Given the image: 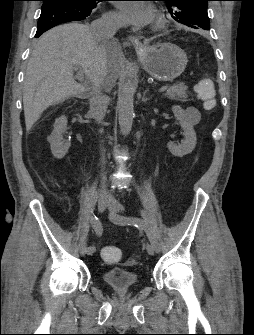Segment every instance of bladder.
<instances>
[{"instance_id": "bladder-1", "label": "bladder", "mask_w": 254, "mask_h": 335, "mask_svg": "<svg viewBox=\"0 0 254 335\" xmlns=\"http://www.w3.org/2000/svg\"><path fill=\"white\" fill-rule=\"evenodd\" d=\"M104 282L112 289L126 291L137 286V275L135 272L123 268H112L104 272Z\"/></svg>"}]
</instances>
